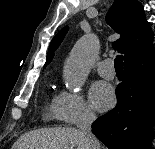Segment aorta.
Masks as SVG:
<instances>
[{"label": "aorta", "instance_id": "762f6f07", "mask_svg": "<svg viewBox=\"0 0 155 149\" xmlns=\"http://www.w3.org/2000/svg\"><path fill=\"white\" fill-rule=\"evenodd\" d=\"M97 53L95 35H86L77 41L64 65V78L69 90L77 92L82 88Z\"/></svg>", "mask_w": 155, "mask_h": 149}]
</instances>
